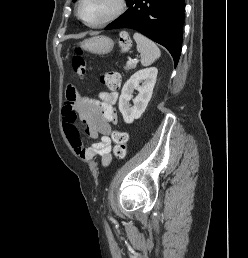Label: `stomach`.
I'll use <instances>...</instances> for the list:
<instances>
[{"mask_svg":"<svg viewBox=\"0 0 248 258\" xmlns=\"http://www.w3.org/2000/svg\"><path fill=\"white\" fill-rule=\"evenodd\" d=\"M114 41L107 36H95L84 40L81 48L93 54L104 55L112 51Z\"/></svg>","mask_w":248,"mask_h":258,"instance_id":"0dacf381","label":"stomach"}]
</instances>
